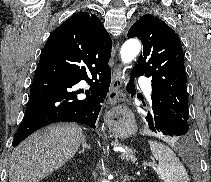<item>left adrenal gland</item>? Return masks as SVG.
Instances as JSON below:
<instances>
[{"instance_id": "obj_1", "label": "left adrenal gland", "mask_w": 211, "mask_h": 182, "mask_svg": "<svg viewBox=\"0 0 211 182\" xmlns=\"http://www.w3.org/2000/svg\"><path fill=\"white\" fill-rule=\"evenodd\" d=\"M132 179H134V177H131V176H128V175L123 176V174L120 175L121 182H127V181L132 180Z\"/></svg>"}]
</instances>
